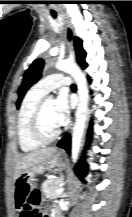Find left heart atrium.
Masks as SVG:
<instances>
[{"label": "left heart atrium", "mask_w": 132, "mask_h": 217, "mask_svg": "<svg viewBox=\"0 0 132 217\" xmlns=\"http://www.w3.org/2000/svg\"><path fill=\"white\" fill-rule=\"evenodd\" d=\"M70 113V100L66 93L61 92L58 97L54 100V121L59 127L63 125Z\"/></svg>", "instance_id": "obj_1"}]
</instances>
